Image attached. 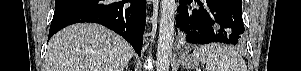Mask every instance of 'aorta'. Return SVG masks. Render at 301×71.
Listing matches in <instances>:
<instances>
[{"instance_id": "aorta-1", "label": "aorta", "mask_w": 301, "mask_h": 71, "mask_svg": "<svg viewBox=\"0 0 301 71\" xmlns=\"http://www.w3.org/2000/svg\"><path fill=\"white\" fill-rule=\"evenodd\" d=\"M175 0H162L159 36L156 55V71H169L174 42Z\"/></svg>"}]
</instances>
